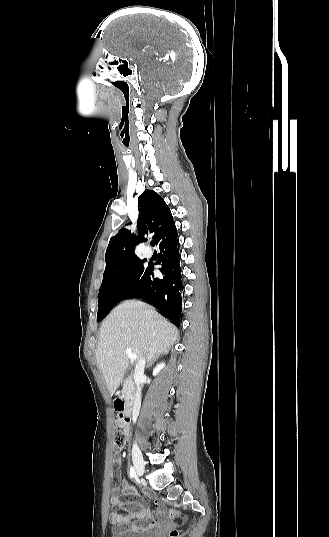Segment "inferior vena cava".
Returning <instances> with one entry per match:
<instances>
[{"instance_id": "602c4592", "label": "inferior vena cava", "mask_w": 329, "mask_h": 537, "mask_svg": "<svg viewBox=\"0 0 329 537\" xmlns=\"http://www.w3.org/2000/svg\"><path fill=\"white\" fill-rule=\"evenodd\" d=\"M144 368H145V358L140 357L138 359V363L136 364L135 371H134V379H135V383L137 384V392L134 398L133 411H132V420L134 423L137 420V417L140 411V406H141L140 380L144 375Z\"/></svg>"}]
</instances>
